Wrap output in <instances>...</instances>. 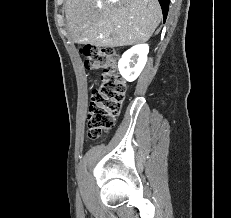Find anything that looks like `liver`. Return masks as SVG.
Segmentation results:
<instances>
[{"mask_svg": "<svg viewBox=\"0 0 231 218\" xmlns=\"http://www.w3.org/2000/svg\"><path fill=\"white\" fill-rule=\"evenodd\" d=\"M65 15L75 43L113 48L146 42L162 11L158 0H67Z\"/></svg>", "mask_w": 231, "mask_h": 218, "instance_id": "liver-1", "label": "liver"}]
</instances>
